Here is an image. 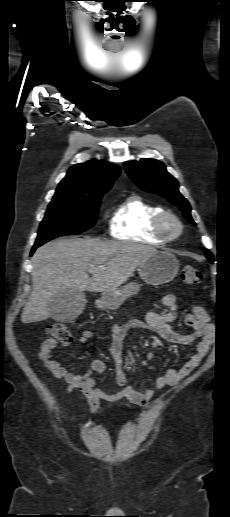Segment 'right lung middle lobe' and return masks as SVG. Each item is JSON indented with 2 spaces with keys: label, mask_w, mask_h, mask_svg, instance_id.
<instances>
[{
  "label": "right lung middle lobe",
  "mask_w": 230,
  "mask_h": 517,
  "mask_svg": "<svg viewBox=\"0 0 230 517\" xmlns=\"http://www.w3.org/2000/svg\"><path fill=\"white\" fill-rule=\"evenodd\" d=\"M104 193L87 198H53L40 224L35 245L88 230L96 222Z\"/></svg>",
  "instance_id": "dd1d6c3e"
}]
</instances>
